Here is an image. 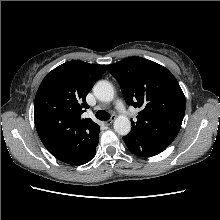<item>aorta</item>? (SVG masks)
Returning a JSON list of instances; mask_svg holds the SVG:
<instances>
[{
  "label": "aorta",
  "instance_id": "762f6f07",
  "mask_svg": "<svg viewBox=\"0 0 220 220\" xmlns=\"http://www.w3.org/2000/svg\"><path fill=\"white\" fill-rule=\"evenodd\" d=\"M95 97L102 102H111L114 99V88L108 81L101 80L93 88ZM114 130L119 135H127L131 130L130 120L124 116H118L113 124Z\"/></svg>",
  "mask_w": 220,
  "mask_h": 220
}]
</instances>
